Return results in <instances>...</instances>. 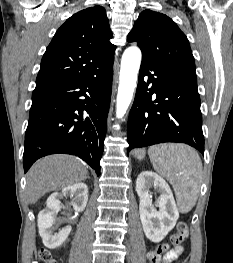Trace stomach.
<instances>
[{"mask_svg": "<svg viewBox=\"0 0 233 263\" xmlns=\"http://www.w3.org/2000/svg\"><path fill=\"white\" fill-rule=\"evenodd\" d=\"M136 157L138 158V159H143L144 158V156H145V153L143 152V151H139V152H136Z\"/></svg>", "mask_w": 233, "mask_h": 263, "instance_id": "0dacf381", "label": "stomach"}]
</instances>
